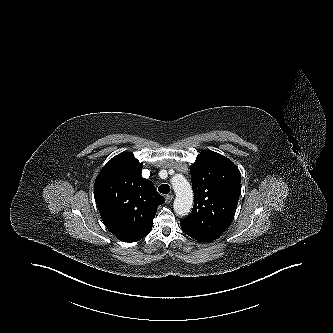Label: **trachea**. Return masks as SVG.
Instances as JSON below:
<instances>
[{
  "label": "trachea",
  "mask_w": 333,
  "mask_h": 333,
  "mask_svg": "<svg viewBox=\"0 0 333 333\" xmlns=\"http://www.w3.org/2000/svg\"><path fill=\"white\" fill-rule=\"evenodd\" d=\"M158 191L162 194H168L170 192V186L168 184H162L159 186Z\"/></svg>",
  "instance_id": "1"
}]
</instances>
